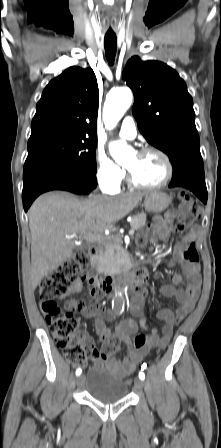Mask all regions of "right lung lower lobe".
<instances>
[{
    "mask_svg": "<svg viewBox=\"0 0 221 448\" xmlns=\"http://www.w3.org/2000/svg\"><path fill=\"white\" fill-rule=\"evenodd\" d=\"M96 186V176L93 174L53 161L28 162L23 171V207L27 211L35 198L47 191L65 190L75 194H89Z\"/></svg>",
    "mask_w": 221,
    "mask_h": 448,
    "instance_id": "1",
    "label": "right lung lower lobe"
}]
</instances>
